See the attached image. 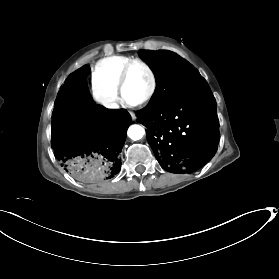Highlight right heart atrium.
I'll list each match as a JSON object with an SVG mask.
<instances>
[{
  "label": "right heart atrium",
  "mask_w": 279,
  "mask_h": 279,
  "mask_svg": "<svg viewBox=\"0 0 279 279\" xmlns=\"http://www.w3.org/2000/svg\"><path fill=\"white\" fill-rule=\"evenodd\" d=\"M92 96L94 101L107 113H112L119 107L118 96L100 84H93Z\"/></svg>",
  "instance_id": "1"
}]
</instances>
